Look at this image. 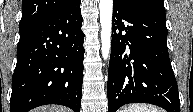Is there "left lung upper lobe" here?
I'll return each instance as SVG.
<instances>
[{
    "instance_id": "5c2ea615",
    "label": "left lung upper lobe",
    "mask_w": 193,
    "mask_h": 112,
    "mask_svg": "<svg viewBox=\"0 0 193 112\" xmlns=\"http://www.w3.org/2000/svg\"><path fill=\"white\" fill-rule=\"evenodd\" d=\"M114 4L127 11H144L156 8L165 10L163 0H114Z\"/></svg>"
}]
</instances>
